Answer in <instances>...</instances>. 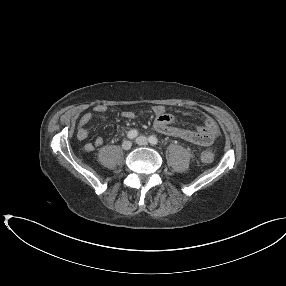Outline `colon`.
<instances>
[{
  "label": "colon",
  "instance_id": "1",
  "mask_svg": "<svg viewBox=\"0 0 286 286\" xmlns=\"http://www.w3.org/2000/svg\"><path fill=\"white\" fill-rule=\"evenodd\" d=\"M213 153L210 151H203L201 154V160L204 163H211L213 161Z\"/></svg>",
  "mask_w": 286,
  "mask_h": 286
}]
</instances>
